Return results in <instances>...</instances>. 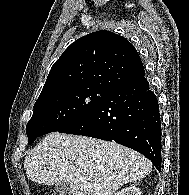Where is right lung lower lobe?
Listing matches in <instances>:
<instances>
[{
	"mask_svg": "<svg viewBox=\"0 0 189 195\" xmlns=\"http://www.w3.org/2000/svg\"><path fill=\"white\" fill-rule=\"evenodd\" d=\"M144 75L111 90L83 117L59 132L115 141L140 152L160 171V111Z\"/></svg>",
	"mask_w": 189,
	"mask_h": 195,
	"instance_id": "98d812e1",
	"label": "right lung lower lobe"
}]
</instances>
